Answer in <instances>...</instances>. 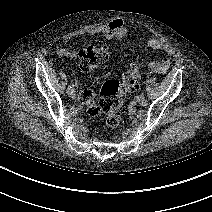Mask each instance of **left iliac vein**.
Instances as JSON below:
<instances>
[{"mask_svg": "<svg viewBox=\"0 0 212 212\" xmlns=\"http://www.w3.org/2000/svg\"><path fill=\"white\" fill-rule=\"evenodd\" d=\"M136 102H137L138 104L142 105V96H138V97L136 98ZM142 106H143V105H142Z\"/></svg>", "mask_w": 212, "mask_h": 212, "instance_id": "1", "label": "left iliac vein"}]
</instances>
